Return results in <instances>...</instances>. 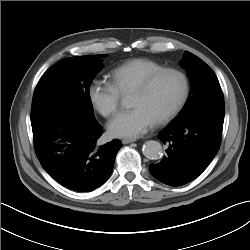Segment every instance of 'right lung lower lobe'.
Returning a JSON list of instances; mask_svg holds the SVG:
<instances>
[{"mask_svg":"<svg viewBox=\"0 0 250 250\" xmlns=\"http://www.w3.org/2000/svg\"><path fill=\"white\" fill-rule=\"evenodd\" d=\"M103 129L97 121L33 134L42 167L62 186L77 192L100 187L111 175L122 144L97 145Z\"/></svg>","mask_w":250,"mask_h":250,"instance_id":"right-lung-lower-lobe-1","label":"right lung lower lobe"}]
</instances>
